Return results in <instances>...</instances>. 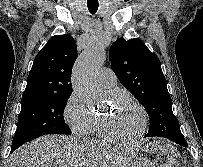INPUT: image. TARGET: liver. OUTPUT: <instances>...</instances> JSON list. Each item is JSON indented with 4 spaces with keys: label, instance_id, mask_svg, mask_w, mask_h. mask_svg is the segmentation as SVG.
Instances as JSON below:
<instances>
[{
    "label": "liver",
    "instance_id": "6515ba94",
    "mask_svg": "<svg viewBox=\"0 0 203 167\" xmlns=\"http://www.w3.org/2000/svg\"><path fill=\"white\" fill-rule=\"evenodd\" d=\"M134 154L72 136L46 135L10 155L7 167H126Z\"/></svg>",
    "mask_w": 203,
    "mask_h": 167
}]
</instances>
